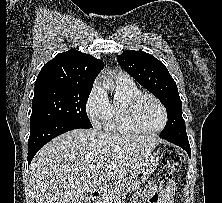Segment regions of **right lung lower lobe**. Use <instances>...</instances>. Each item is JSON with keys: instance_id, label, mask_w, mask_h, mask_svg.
<instances>
[{"instance_id": "98d812e1", "label": "right lung lower lobe", "mask_w": 222, "mask_h": 203, "mask_svg": "<svg viewBox=\"0 0 222 203\" xmlns=\"http://www.w3.org/2000/svg\"><path fill=\"white\" fill-rule=\"evenodd\" d=\"M78 128H92L88 125L71 121H46L31 126L28 140V165L34 155L50 140L67 131Z\"/></svg>"}]
</instances>
